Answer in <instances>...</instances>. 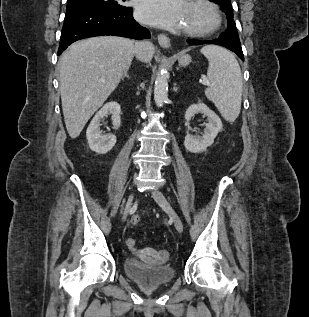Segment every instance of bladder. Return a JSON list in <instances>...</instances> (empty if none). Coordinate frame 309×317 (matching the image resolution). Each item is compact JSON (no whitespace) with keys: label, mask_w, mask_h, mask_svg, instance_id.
<instances>
[{"label":"bladder","mask_w":309,"mask_h":317,"mask_svg":"<svg viewBox=\"0 0 309 317\" xmlns=\"http://www.w3.org/2000/svg\"><path fill=\"white\" fill-rule=\"evenodd\" d=\"M125 274L144 289H156L170 283L175 272L168 265H154L135 257H127L123 263Z\"/></svg>","instance_id":"bladder-1"}]
</instances>
